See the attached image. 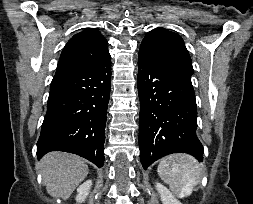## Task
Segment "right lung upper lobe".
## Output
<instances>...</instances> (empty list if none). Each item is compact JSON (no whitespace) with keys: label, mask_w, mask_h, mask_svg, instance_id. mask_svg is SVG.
Returning <instances> with one entry per match:
<instances>
[{"label":"right lung upper lobe","mask_w":253,"mask_h":204,"mask_svg":"<svg viewBox=\"0 0 253 204\" xmlns=\"http://www.w3.org/2000/svg\"><path fill=\"white\" fill-rule=\"evenodd\" d=\"M109 54L107 40L95 29H85L65 45L54 77L89 65Z\"/></svg>","instance_id":"obj_1"}]
</instances>
